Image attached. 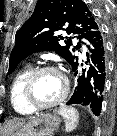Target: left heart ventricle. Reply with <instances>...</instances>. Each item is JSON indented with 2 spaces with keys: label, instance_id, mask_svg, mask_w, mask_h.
<instances>
[{
  "label": "left heart ventricle",
  "instance_id": "obj_1",
  "mask_svg": "<svg viewBox=\"0 0 117 136\" xmlns=\"http://www.w3.org/2000/svg\"><path fill=\"white\" fill-rule=\"evenodd\" d=\"M64 83L55 72L40 74L33 88V97L38 104H47L56 100L63 92Z\"/></svg>",
  "mask_w": 117,
  "mask_h": 136
}]
</instances>
